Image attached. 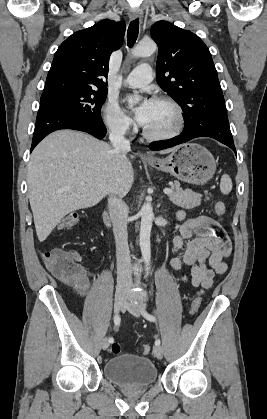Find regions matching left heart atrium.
Wrapping results in <instances>:
<instances>
[{
	"label": "left heart atrium",
	"instance_id": "1",
	"mask_svg": "<svg viewBox=\"0 0 267 419\" xmlns=\"http://www.w3.org/2000/svg\"><path fill=\"white\" fill-rule=\"evenodd\" d=\"M152 103L153 100L145 98L135 109V117L141 125L146 123Z\"/></svg>",
	"mask_w": 267,
	"mask_h": 419
}]
</instances>
